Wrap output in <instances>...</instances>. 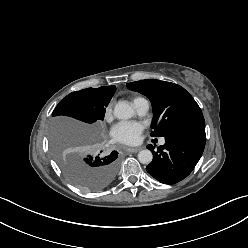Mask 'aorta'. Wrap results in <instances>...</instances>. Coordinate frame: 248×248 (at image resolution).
<instances>
[{"label": "aorta", "instance_id": "762f6f07", "mask_svg": "<svg viewBox=\"0 0 248 248\" xmlns=\"http://www.w3.org/2000/svg\"><path fill=\"white\" fill-rule=\"evenodd\" d=\"M134 115L133 108L126 101H119L114 107V116L121 120L130 119ZM153 159L152 152L148 149L138 153V160L142 164H149Z\"/></svg>", "mask_w": 248, "mask_h": 248}]
</instances>
